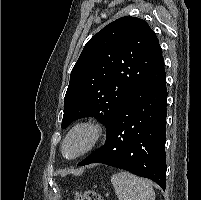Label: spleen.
Returning <instances> with one entry per match:
<instances>
[{
	"mask_svg": "<svg viewBox=\"0 0 201 200\" xmlns=\"http://www.w3.org/2000/svg\"><path fill=\"white\" fill-rule=\"evenodd\" d=\"M119 200H155L151 183L131 173L121 171L111 176Z\"/></svg>",
	"mask_w": 201,
	"mask_h": 200,
	"instance_id": "spleen-1",
	"label": "spleen"
}]
</instances>
